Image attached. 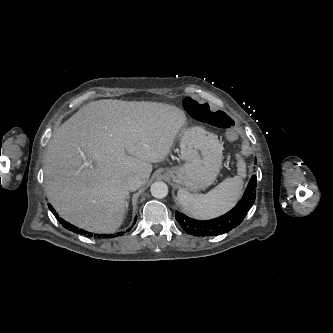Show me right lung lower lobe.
<instances>
[{
	"instance_id": "98d812e1",
	"label": "right lung lower lobe",
	"mask_w": 333,
	"mask_h": 333,
	"mask_svg": "<svg viewBox=\"0 0 333 333\" xmlns=\"http://www.w3.org/2000/svg\"><path fill=\"white\" fill-rule=\"evenodd\" d=\"M49 209L53 212L54 215H57V213L55 212L54 208L49 204ZM57 220L68 230L76 232L78 234L87 236V237H95V238H114L117 236H121L123 235V232L116 234H92L88 231H85L83 229H78L76 226L71 225L70 223L64 221L62 218L56 217ZM136 220V219H135ZM135 223V222H134ZM131 229V228H130ZM129 231V229L127 230ZM125 233V232H124Z\"/></svg>"
}]
</instances>
